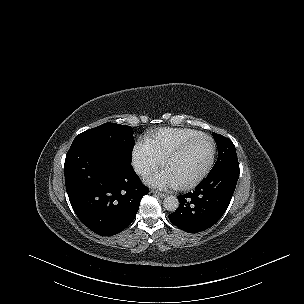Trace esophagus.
<instances>
[{"label": "esophagus", "instance_id": "1", "mask_svg": "<svg viewBox=\"0 0 304 304\" xmlns=\"http://www.w3.org/2000/svg\"><path fill=\"white\" fill-rule=\"evenodd\" d=\"M150 192L153 193V194H155V195L158 196L159 198H165V197L167 196V194L158 192V191H156V190H151Z\"/></svg>", "mask_w": 304, "mask_h": 304}]
</instances>
